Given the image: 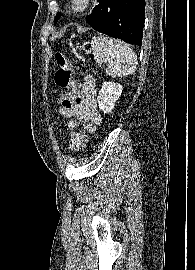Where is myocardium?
<instances>
[{"label":"myocardium","instance_id":"1","mask_svg":"<svg viewBox=\"0 0 195 270\" xmlns=\"http://www.w3.org/2000/svg\"><path fill=\"white\" fill-rule=\"evenodd\" d=\"M79 0H69L70 10L74 14H84L88 12L95 3V0H82L81 5H78Z\"/></svg>","mask_w":195,"mask_h":270}]
</instances>
